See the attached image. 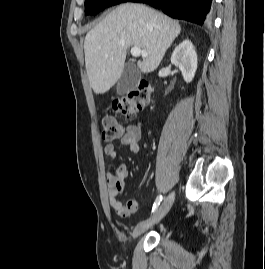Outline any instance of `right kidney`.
<instances>
[{"mask_svg":"<svg viewBox=\"0 0 265 269\" xmlns=\"http://www.w3.org/2000/svg\"><path fill=\"white\" fill-rule=\"evenodd\" d=\"M171 63L180 69L185 82L193 80L197 70V54L190 40H184L175 48Z\"/></svg>","mask_w":265,"mask_h":269,"instance_id":"obj_1","label":"right kidney"}]
</instances>
